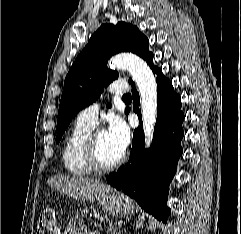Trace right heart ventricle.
<instances>
[{"label":"right heart ventricle","mask_w":241,"mask_h":234,"mask_svg":"<svg viewBox=\"0 0 241 234\" xmlns=\"http://www.w3.org/2000/svg\"><path fill=\"white\" fill-rule=\"evenodd\" d=\"M93 127L76 120L65 138L62 159L66 170L74 176H88L94 171L85 157L86 139Z\"/></svg>","instance_id":"e07e8e85"}]
</instances>
